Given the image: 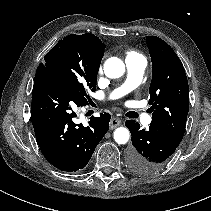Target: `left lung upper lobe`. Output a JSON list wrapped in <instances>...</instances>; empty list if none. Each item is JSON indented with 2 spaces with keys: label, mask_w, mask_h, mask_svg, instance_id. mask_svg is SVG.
Returning a JSON list of instances; mask_svg holds the SVG:
<instances>
[{
  "label": "left lung upper lobe",
  "mask_w": 211,
  "mask_h": 211,
  "mask_svg": "<svg viewBox=\"0 0 211 211\" xmlns=\"http://www.w3.org/2000/svg\"><path fill=\"white\" fill-rule=\"evenodd\" d=\"M146 43L152 60L150 126L179 145L189 111L186 73L179 57L165 41L147 36Z\"/></svg>",
  "instance_id": "1"
}]
</instances>
